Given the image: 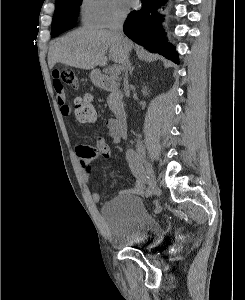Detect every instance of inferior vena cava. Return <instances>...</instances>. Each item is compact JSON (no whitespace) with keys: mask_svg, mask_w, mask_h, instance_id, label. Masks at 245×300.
Instances as JSON below:
<instances>
[{"mask_svg":"<svg viewBox=\"0 0 245 300\" xmlns=\"http://www.w3.org/2000/svg\"><path fill=\"white\" fill-rule=\"evenodd\" d=\"M126 18L125 13H119L114 18L112 25H111V31L116 35L117 39L120 40L123 46L124 50V70H125V79H127V72L129 70V52H128V46H127V39L124 38L123 35V24ZM137 149L138 151L143 150V146L141 142L137 143Z\"/></svg>","mask_w":245,"mask_h":300,"instance_id":"inferior-vena-cava-1","label":"inferior vena cava"}]
</instances>
